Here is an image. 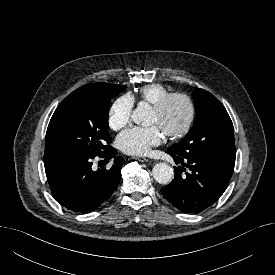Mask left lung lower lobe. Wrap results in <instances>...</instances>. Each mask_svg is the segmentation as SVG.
<instances>
[{"label":"left lung lower lobe","instance_id":"left-lung-lower-lobe-1","mask_svg":"<svg viewBox=\"0 0 275 275\" xmlns=\"http://www.w3.org/2000/svg\"><path fill=\"white\" fill-rule=\"evenodd\" d=\"M176 164L175 177L161 189L163 196L183 213H197L214 204L226 190L232 176L235 158L197 153L187 158L167 151ZM190 169L186 176L180 173Z\"/></svg>","mask_w":275,"mask_h":275}]
</instances>
